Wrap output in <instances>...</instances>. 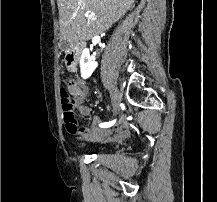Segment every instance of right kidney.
<instances>
[{
  "instance_id": "1",
  "label": "right kidney",
  "mask_w": 217,
  "mask_h": 202,
  "mask_svg": "<svg viewBox=\"0 0 217 202\" xmlns=\"http://www.w3.org/2000/svg\"><path fill=\"white\" fill-rule=\"evenodd\" d=\"M97 64L92 60L90 56V52L88 48H85L82 52L81 60H80V70H81V78L87 80L92 76Z\"/></svg>"
}]
</instances>
